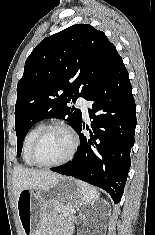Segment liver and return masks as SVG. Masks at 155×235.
<instances>
[{
	"mask_svg": "<svg viewBox=\"0 0 155 235\" xmlns=\"http://www.w3.org/2000/svg\"><path fill=\"white\" fill-rule=\"evenodd\" d=\"M62 178L59 174L46 171L34 170L17 165L13 170V187L16 200L24 189L47 190Z\"/></svg>",
	"mask_w": 155,
	"mask_h": 235,
	"instance_id": "obj_1",
	"label": "liver"
}]
</instances>
